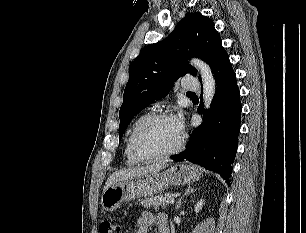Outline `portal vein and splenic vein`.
Instances as JSON below:
<instances>
[{
  "label": "portal vein and splenic vein",
  "instance_id": "portal-vein-and-splenic-vein-1",
  "mask_svg": "<svg viewBox=\"0 0 306 233\" xmlns=\"http://www.w3.org/2000/svg\"><path fill=\"white\" fill-rule=\"evenodd\" d=\"M175 200H174V198L172 197V198H169V199H167L166 200V204H171V203H173Z\"/></svg>",
  "mask_w": 306,
  "mask_h": 233
}]
</instances>
